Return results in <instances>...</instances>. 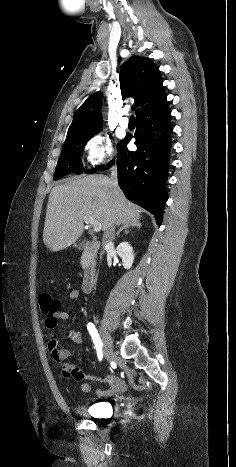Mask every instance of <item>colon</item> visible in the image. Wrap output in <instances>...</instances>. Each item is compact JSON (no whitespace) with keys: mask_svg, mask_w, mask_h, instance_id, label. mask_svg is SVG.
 <instances>
[{"mask_svg":"<svg viewBox=\"0 0 236 467\" xmlns=\"http://www.w3.org/2000/svg\"><path fill=\"white\" fill-rule=\"evenodd\" d=\"M38 302L42 314L47 316H53L61 310V302L58 298L50 293L44 292L39 294Z\"/></svg>","mask_w":236,"mask_h":467,"instance_id":"1","label":"colon"}]
</instances>
